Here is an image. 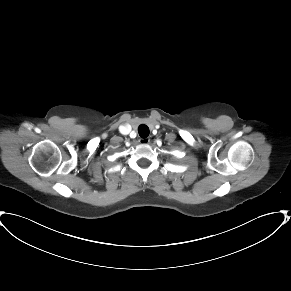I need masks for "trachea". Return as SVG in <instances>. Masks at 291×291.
Masks as SVG:
<instances>
[{
    "label": "trachea",
    "instance_id": "trachea-1",
    "mask_svg": "<svg viewBox=\"0 0 291 291\" xmlns=\"http://www.w3.org/2000/svg\"><path fill=\"white\" fill-rule=\"evenodd\" d=\"M138 133L142 138H146L149 135V128L146 125H140Z\"/></svg>",
    "mask_w": 291,
    "mask_h": 291
}]
</instances>
